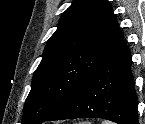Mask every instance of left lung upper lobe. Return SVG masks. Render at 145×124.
Listing matches in <instances>:
<instances>
[{
	"label": "left lung upper lobe",
	"mask_w": 145,
	"mask_h": 124,
	"mask_svg": "<svg viewBox=\"0 0 145 124\" xmlns=\"http://www.w3.org/2000/svg\"><path fill=\"white\" fill-rule=\"evenodd\" d=\"M122 43L109 2L74 0L34 73L22 124H41L53 115Z\"/></svg>",
	"instance_id": "obj_1"
}]
</instances>
